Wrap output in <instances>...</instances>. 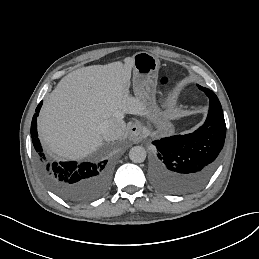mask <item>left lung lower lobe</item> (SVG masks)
I'll list each match as a JSON object with an SVG mask.
<instances>
[{"mask_svg":"<svg viewBox=\"0 0 259 259\" xmlns=\"http://www.w3.org/2000/svg\"><path fill=\"white\" fill-rule=\"evenodd\" d=\"M198 87L210 100L205 123L193 133L152 142L158 150L150 167L152 182L166 193L196 190L209 179L219 163L226 135L222 107L213 91Z\"/></svg>","mask_w":259,"mask_h":259,"instance_id":"0a47b994","label":"left lung lower lobe"}]
</instances>
